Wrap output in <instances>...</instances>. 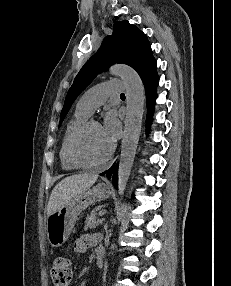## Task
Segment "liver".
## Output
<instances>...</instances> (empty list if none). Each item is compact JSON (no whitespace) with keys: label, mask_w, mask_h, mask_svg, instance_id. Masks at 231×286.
Returning a JSON list of instances; mask_svg holds the SVG:
<instances>
[{"label":"liver","mask_w":231,"mask_h":286,"mask_svg":"<svg viewBox=\"0 0 231 286\" xmlns=\"http://www.w3.org/2000/svg\"><path fill=\"white\" fill-rule=\"evenodd\" d=\"M98 179L94 174H78L61 180L52 190L47 205V216L60 210L70 199L89 189Z\"/></svg>","instance_id":"obj_1"}]
</instances>
